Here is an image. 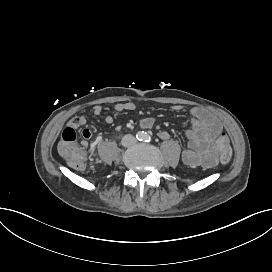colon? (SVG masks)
Instances as JSON below:
<instances>
[{"label": "colon", "instance_id": "5ec220e1", "mask_svg": "<svg viewBox=\"0 0 272 272\" xmlns=\"http://www.w3.org/2000/svg\"><path fill=\"white\" fill-rule=\"evenodd\" d=\"M232 154L230 137L222 132L214 142L212 155L222 162L230 160ZM59 155L64 162H69L77 171H83V151L78 147V131L74 127H65L61 131Z\"/></svg>", "mask_w": 272, "mask_h": 272}]
</instances>
